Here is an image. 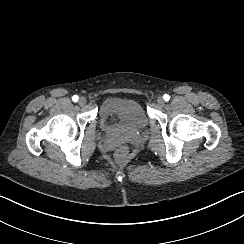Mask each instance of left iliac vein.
Returning a JSON list of instances; mask_svg holds the SVG:
<instances>
[{"mask_svg": "<svg viewBox=\"0 0 244 244\" xmlns=\"http://www.w3.org/2000/svg\"><path fill=\"white\" fill-rule=\"evenodd\" d=\"M157 103H158L159 106H164L165 101H164V99H163L162 97H159V98L157 99Z\"/></svg>", "mask_w": 244, "mask_h": 244, "instance_id": "1", "label": "left iliac vein"}]
</instances>
